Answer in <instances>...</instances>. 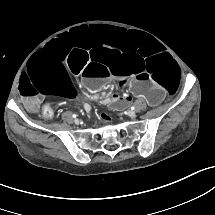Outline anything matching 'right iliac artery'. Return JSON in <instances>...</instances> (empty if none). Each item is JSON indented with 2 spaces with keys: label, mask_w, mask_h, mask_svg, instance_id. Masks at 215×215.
<instances>
[{
  "label": "right iliac artery",
  "mask_w": 215,
  "mask_h": 215,
  "mask_svg": "<svg viewBox=\"0 0 215 215\" xmlns=\"http://www.w3.org/2000/svg\"><path fill=\"white\" fill-rule=\"evenodd\" d=\"M72 117H73V118H75V117H76V115H75V114H72Z\"/></svg>",
  "instance_id": "82829eb1"
}]
</instances>
